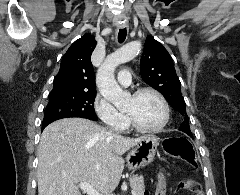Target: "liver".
I'll return each instance as SVG.
<instances>
[{"mask_svg":"<svg viewBox=\"0 0 240 195\" xmlns=\"http://www.w3.org/2000/svg\"><path fill=\"white\" fill-rule=\"evenodd\" d=\"M142 137H125L83 117H64L45 127L38 153V195H82L87 181L101 193L116 189L123 153Z\"/></svg>","mask_w":240,"mask_h":195,"instance_id":"obj_1","label":"liver"}]
</instances>
